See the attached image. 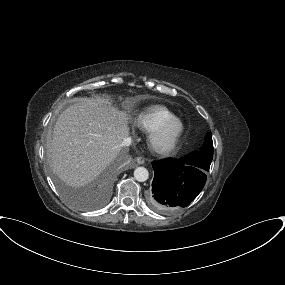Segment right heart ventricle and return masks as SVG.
I'll list each match as a JSON object with an SVG mask.
<instances>
[{
    "label": "right heart ventricle",
    "instance_id": "obj_1",
    "mask_svg": "<svg viewBox=\"0 0 285 285\" xmlns=\"http://www.w3.org/2000/svg\"><path fill=\"white\" fill-rule=\"evenodd\" d=\"M176 118L175 115L163 106H154L141 112L135 120L137 127L150 132L167 120Z\"/></svg>",
    "mask_w": 285,
    "mask_h": 285
}]
</instances>
